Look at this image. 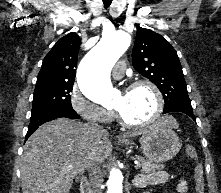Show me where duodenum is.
<instances>
[{"label": "duodenum", "mask_w": 221, "mask_h": 193, "mask_svg": "<svg viewBox=\"0 0 221 193\" xmlns=\"http://www.w3.org/2000/svg\"><path fill=\"white\" fill-rule=\"evenodd\" d=\"M80 192L81 193H91L90 182L87 177H82L80 180Z\"/></svg>", "instance_id": "1"}]
</instances>
